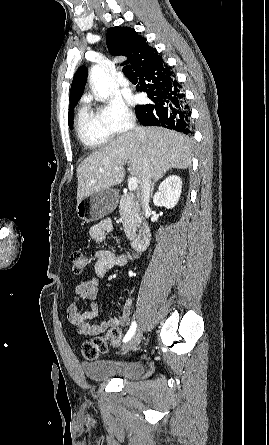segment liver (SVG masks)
<instances>
[{"label": "liver", "mask_w": 269, "mask_h": 445, "mask_svg": "<svg viewBox=\"0 0 269 445\" xmlns=\"http://www.w3.org/2000/svg\"><path fill=\"white\" fill-rule=\"evenodd\" d=\"M143 137L126 132L88 156L77 168V202L92 193L120 184L123 166L142 183L145 169L154 180L173 168L191 164V141L175 131L159 127L142 128ZM147 160V167L144 164Z\"/></svg>", "instance_id": "liver-1"}]
</instances>
